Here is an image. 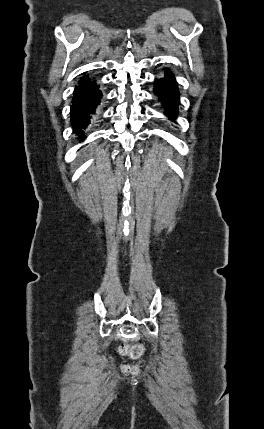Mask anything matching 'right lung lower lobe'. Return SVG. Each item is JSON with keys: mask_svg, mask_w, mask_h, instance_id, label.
<instances>
[{"mask_svg": "<svg viewBox=\"0 0 264 429\" xmlns=\"http://www.w3.org/2000/svg\"><path fill=\"white\" fill-rule=\"evenodd\" d=\"M95 81L82 78L75 88L71 105V124L80 141L86 138L84 129L100 104L102 96Z\"/></svg>", "mask_w": 264, "mask_h": 429, "instance_id": "obj_1", "label": "right lung lower lobe"}]
</instances>
